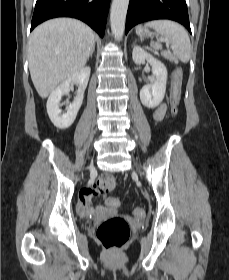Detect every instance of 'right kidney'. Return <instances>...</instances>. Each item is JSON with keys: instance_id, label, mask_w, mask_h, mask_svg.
Instances as JSON below:
<instances>
[{"instance_id": "right-kidney-1", "label": "right kidney", "mask_w": 229, "mask_h": 280, "mask_svg": "<svg viewBox=\"0 0 229 280\" xmlns=\"http://www.w3.org/2000/svg\"><path fill=\"white\" fill-rule=\"evenodd\" d=\"M91 69L90 67L83 68L80 72L73 75L69 79L61 83L50 94L47 101V113L51 122L59 129L69 128L76 119L77 113L82 105L84 92L87 87ZM76 82L79 85L77 95L74 101L66 107L67 112L62 114L59 104L64 94L69 92L70 84Z\"/></svg>"}]
</instances>
